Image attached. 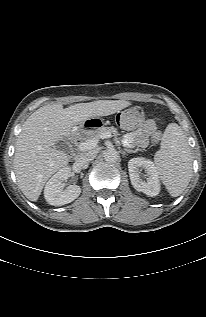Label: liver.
<instances>
[{
    "label": "liver",
    "instance_id": "liver-1",
    "mask_svg": "<svg viewBox=\"0 0 206 317\" xmlns=\"http://www.w3.org/2000/svg\"><path fill=\"white\" fill-rule=\"evenodd\" d=\"M131 105L125 100H98L67 108L49 104L37 109L24 122L17 138L14 171L23 194L36 202L46 181L65 167L67 155L55 144L71 136L74 126L91 117L108 116Z\"/></svg>",
    "mask_w": 206,
    "mask_h": 317
}]
</instances>
